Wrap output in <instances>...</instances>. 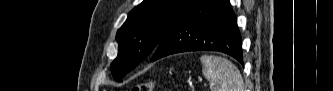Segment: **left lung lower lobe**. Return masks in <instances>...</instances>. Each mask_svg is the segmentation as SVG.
<instances>
[{
	"label": "left lung lower lobe",
	"mask_w": 333,
	"mask_h": 91,
	"mask_svg": "<svg viewBox=\"0 0 333 91\" xmlns=\"http://www.w3.org/2000/svg\"><path fill=\"white\" fill-rule=\"evenodd\" d=\"M187 51H219L241 64V36L229 0H198L152 53L151 61Z\"/></svg>",
	"instance_id": "obj_1"
}]
</instances>
